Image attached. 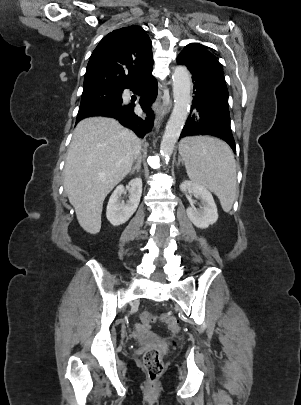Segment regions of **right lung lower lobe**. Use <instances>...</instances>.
Instances as JSON below:
<instances>
[{
    "label": "right lung lower lobe",
    "mask_w": 301,
    "mask_h": 405,
    "mask_svg": "<svg viewBox=\"0 0 301 405\" xmlns=\"http://www.w3.org/2000/svg\"><path fill=\"white\" fill-rule=\"evenodd\" d=\"M152 68L143 73V75L130 87L131 90H137L142 94L140 105L147 117L142 118L134 113L133 105H122V102L111 105H104L78 112L76 122L86 117L103 116L117 119L123 126L133 130L139 137H144L153 127L154 114L150 108L157 96V81L152 75Z\"/></svg>",
    "instance_id": "right-lung-lower-lobe-1"
}]
</instances>
